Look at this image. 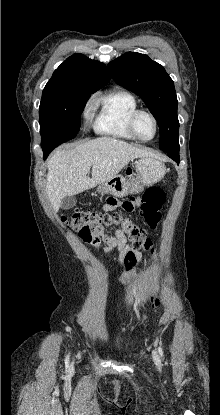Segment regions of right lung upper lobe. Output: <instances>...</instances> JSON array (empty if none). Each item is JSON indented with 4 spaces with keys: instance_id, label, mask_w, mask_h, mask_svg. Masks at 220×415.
<instances>
[{
    "instance_id": "right-lung-upper-lobe-1",
    "label": "right lung upper lobe",
    "mask_w": 220,
    "mask_h": 415,
    "mask_svg": "<svg viewBox=\"0 0 220 415\" xmlns=\"http://www.w3.org/2000/svg\"><path fill=\"white\" fill-rule=\"evenodd\" d=\"M109 80L110 73L104 64L82 54H74L54 71L45 88L96 92Z\"/></svg>"
}]
</instances>
